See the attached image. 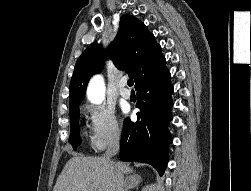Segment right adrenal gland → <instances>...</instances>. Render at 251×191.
Returning a JSON list of instances; mask_svg holds the SVG:
<instances>
[{
	"instance_id": "right-adrenal-gland-1",
	"label": "right adrenal gland",
	"mask_w": 251,
	"mask_h": 191,
	"mask_svg": "<svg viewBox=\"0 0 251 191\" xmlns=\"http://www.w3.org/2000/svg\"><path fill=\"white\" fill-rule=\"evenodd\" d=\"M141 181V175H138V173H133V171H128L125 179V191L132 189V187H137Z\"/></svg>"
}]
</instances>
